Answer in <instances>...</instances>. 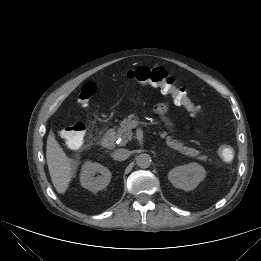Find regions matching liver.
Here are the masks:
<instances>
[{
    "label": "liver",
    "mask_w": 261,
    "mask_h": 261,
    "mask_svg": "<svg viewBox=\"0 0 261 261\" xmlns=\"http://www.w3.org/2000/svg\"><path fill=\"white\" fill-rule=\"evenodd\" d=\"M46 160L56 191L64 194L73 176L74 162L65 154L53 133L47 138Z\"/></svg>",
    "instance_id": "obj_1"
}]
</instances>
